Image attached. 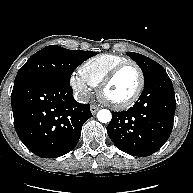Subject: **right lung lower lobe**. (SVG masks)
<instances>
[{"mask_svg":"<svg viewBox=\"0 0 193 193\" xmlns=\"http://www.w3.org/2000/svg\"><path fill=\"white\" fill-rule=\"evenodd\" d=\"M68 84L31 78L14 84L11 103L20 140L35 155L62 156L78 143L84 122L92 117L89 104H80Z\"/></svg>","mask_w":193,"mask_h":193,"instance_id":"right-lung-lower-lobe-1","label":"right lung lower lobe"}]
</instances>
